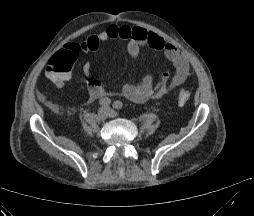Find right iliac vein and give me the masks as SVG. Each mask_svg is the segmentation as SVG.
<instances>
[{"label":"right iliac vein","instance_id":"1","mask_svg":"<svg viewBox=\"0 0 254 216\" xmlns=\"http://www.w3.org/2000/svg\"><path fill=\"white\" fill-rule=\"evenodd\" d=\"M109 115V109L106 108V107H101L99 110H98V114H97V117L100 121H104L107 119Z\"/></svg>","mask_w":254,"mask_h":216}]
</instances>
